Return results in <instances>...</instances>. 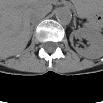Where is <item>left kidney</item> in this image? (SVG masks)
Returning <instances> with one entry per match:
<instances>
[{
    "label": "left kidney",
    "mask_w": 103,
    "mask_h": 103,
    "mask_svg": "<svg viewBox=\"0 0 103 103\" xmlns=\"http://www.w3.org/2000/svg\"><path fill=\"white\" fill-rule=\"evenodd\" d=\"M74 36L86 38L90 47L88 49H82L75 47V50L83 54L87 58L95 59L102 56V39L101 37L95 36L92 33L84 32L82 30L73 31L70 35V41H72Z\"/></svg>",
    "instance_id": "1"
}]
</instances>
